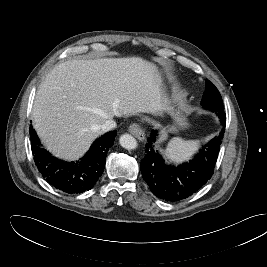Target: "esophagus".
Listing matches in <instances>:
<instances>
[{"mask_svg":"<svg viewBox=\"0 0 267 267\" xmlns=\"http://www.w3.org/2000/svg\"><path fill=\"white\" fill-rule=\"evenodd\" d=\"M128 131L139 140L145 139V132L143 128L137 123L131 124L128 128Z\"/></svg>","mask_w":267,"mask_h":267,"instance_id":"esophagus-1","label":"esophagus"}]
</instances>
